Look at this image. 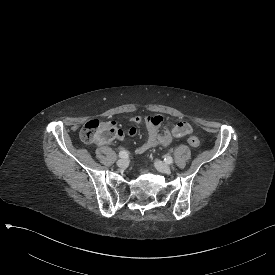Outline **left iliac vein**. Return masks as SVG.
Returning <instances> with one entry per match:
<instances>
[{
    "label": "left iliac vein",
    "instance_id": "1",
    "mask_svg": "<svg viewBox=\"0 0 275 275\" xmlns=\"http://www.w3.org/2000/svg\"><path fill=\"white\" fill-rule=\"evenodd\" d=\"M155 167L161 173L169 174L171 171L170 166L160 160H155Z\"/></svg>",
    "mask_w": 275,
    "mask_h": 275
}]
</instances>
